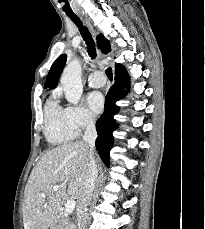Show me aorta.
<instances>
[{
    "mask_svg": "<svg viewBox=\"0 0 205 229\" xmlns=\"http://www.w3.org/2000/svg\"><path fill=\"white\" fill-rule=\"evenodd\" d=\"M82 67L79 61H71L63 70L61 75V85L64 90L66 100L77 105L83 93L81 81Z\"/></svg>",
    "mask_w": 205,
    "mask_h": 229,
    "instance_id": "obj_1",
    "label": "aorta"
}]
</instances>
